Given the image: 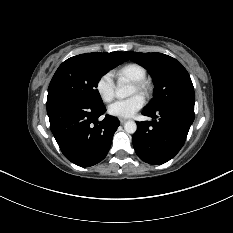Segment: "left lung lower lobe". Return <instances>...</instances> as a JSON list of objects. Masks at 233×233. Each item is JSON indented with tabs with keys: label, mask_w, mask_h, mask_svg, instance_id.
I'll use <instances>...</instances> for the list:
<instances>
[{
	"label": "left lung lower lobe",
	"mask_w": 233,
	"mask_h": 233,
	"mask_svg": "<svg viewBox=\"0 0 233 233\" xmlns=\"http://www.w3.org/2000/svg\"><path fill=\"white\" fill-rule=\"evenodd\" d=\"M154 120L138 122L132 142L139 158L159 165L172 159L182 148L194 121V110L174 105L157 110L144 109Z\"/></svg>",
	"instance_id": "obj_1"
}]
</instances>
